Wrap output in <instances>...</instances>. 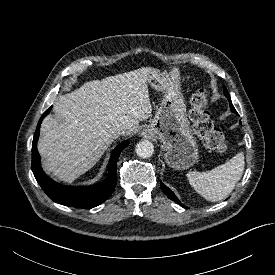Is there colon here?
Wrapping results in <instances>:
<instances>
[{
  "instance_id": "5ec220e1",
  "label": "colon",
  "mask_w": 275,
  "mask_h": 275,
  "mask_svg": "<svg viewBox=\"0 0 275 275\" xmlns=\"http://www.w3.org/2000/svg\"><path fill=\"white\" fill-rule=\"evenodd\" d=\"M189 119L194 133L211 151L223 153L227 142L224 134L214 127L209 116L208 92L201 89L190 99Z\"/></svg>"
}]
</instances>
